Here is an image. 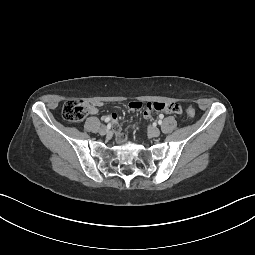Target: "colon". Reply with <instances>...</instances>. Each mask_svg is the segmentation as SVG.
<instances>
[{"label": "colon", "instance_id": "1", "mask_svg": "<svg viewBox=\"0 0 255 255\" xmlns=\"http://www.w3.org/2000/svg\"><path fill=\"white\" fill-rule=\"evenodd\" d=\"M88 113V105L82 100H69L62 109L63 117L69 122H80ZM187 116L193 118L195 116V110L192 106H189L186 110Z\"/></svg>", "mask_w": 255, "mask_h": 255}]
</instances>
